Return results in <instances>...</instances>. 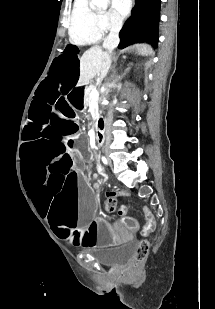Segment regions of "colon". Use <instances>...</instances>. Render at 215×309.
Returning <instances> with one entry per match:
<instances>
[{
	"mask_svg": "<svg viewBox=\"0 0 215 309\" xmlns=\"http://www.w3.org/2000/svg\"><path fill=\"white\" fill-rule=\"evenodd\" d=\"M116 195L114 193H109L106 197L105 212L112 214L116 210ZM149 243L147 241H141L137 246V259L143 260L147 257L149 251Z\"/></svg>",
	"mask_w": 215,
	"mask_h": 309,
	"instance_id": "5ec220e1",
	"label": "colon"
}]
</instances>
